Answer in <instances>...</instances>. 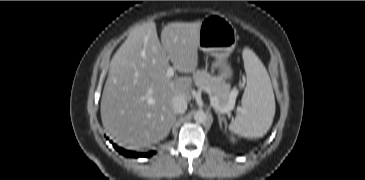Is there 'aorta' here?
<instances>
[{
    "instance_id": "1",
    "label": "aorta",
    "mask_w": 365,
    "mask_h": 180,
    "mask_svg": "<svg viewBox=\"0 0 365 180\" xmlns=\"http://www.w3.org/2000/svg\"><path fill=\"white\" fill-rule=\"evenodd\" d=\"M194 120L197 122V123H205L207 121V115L205 114V112L203 111H197L195 114H194Z\"/></svg>"
}]
</instances>
